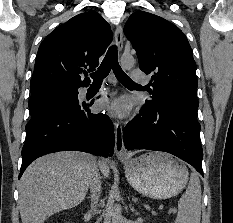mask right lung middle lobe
Wrapping results in <instances>:
<instances>
[{"label":"right lung middle lobe","instance_id":"right-lung-middle-lobe-1","mask_svg":"<svg viewBox=\"0 0 233 223\" xmlns=\"http://www.w3.org/2000/svg\"><path fill=\"white\" fill-rule=\"evenodd\" d=\"M76 89H49L32 94L29 101L31 117L48 111L63 109L61 102L57 101L62 95L73 93Z\"/></svg>","mask_w":233,"mask_h":223}]
</instances>
